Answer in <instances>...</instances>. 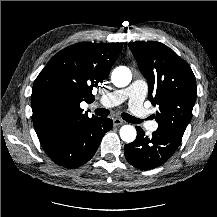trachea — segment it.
I'll return each mask as SVG.
<instances>
[{
  "instance_id": "1",
  "label": "trachea",
  "mask_w": 217,
  "mask_h": 217,
  "mask_svg": "<svg viewBox=\"0 0 217 217\" xmlns=\"http://www.w3.org/2000/svg\"><path fill=\"white\" fill-rule=\"evenodd\" d=\"M109 113H110V111L108 109H104V108H98V109L95 110V114L97 116H101V117H106V116L109 115ZM122 117L127 122H130V123L138 124V123L141 122L139 119H136L135 117H133V116L127 114V113H123Z\"/></svg>"
}]
</instances>
